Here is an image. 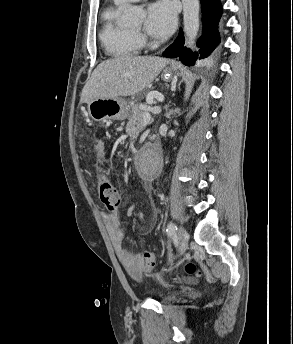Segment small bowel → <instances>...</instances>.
<instances>
[{"label":"small bowel","mask_w":293,"mask_h":344,"mask_svg":"<svg viewBox=\"0 0 293 344\" xmlns=\"http://www.w3.org/2000/svg\"><path fill=\"white\" fill-rule=\"evenodd\" d=\"M96 150L101 154L104 151V143L97 141ZM103 219L106 224L115 253L123 265L132 275L138 276L142 270L143 260L138 254L131 253L124 246L125 233L121 227L120 214L118 209L103 213ZM155 225V219L150 221L146 226V230H151Z\"/></svg>","instance_id":"c3829d8e"}]
</instances>
